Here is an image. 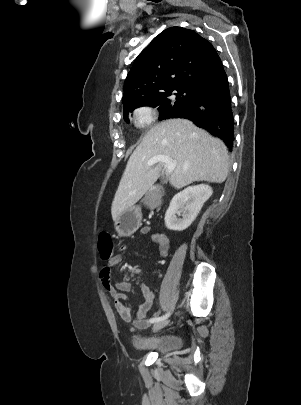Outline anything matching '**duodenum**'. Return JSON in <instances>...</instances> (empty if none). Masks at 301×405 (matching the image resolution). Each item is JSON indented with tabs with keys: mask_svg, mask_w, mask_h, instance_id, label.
<instances>
[{
	"mask_svg": "<svg viewBox=\"0 0 301 405\" xmlns=\"http://www.w3.org/2000/svg\"><path fill=\"white\" fill-rule=\"evenodd\" d=\"M145 204L148 207H153L155 210L156 208H164L165 207V200L163 198L162 192L158 189L155 190H146L145 191Z\"/></svg>",
	"mask_w": 301,
	"mask_h": 405,
	"instance_id": "obj_1",
	"label": "duodenum"
}]
</instances>
